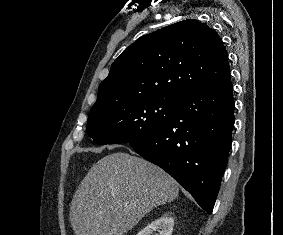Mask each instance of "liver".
Wrapping results in <instances>:
<instances>
[{
  "instance_id": "obj_1",
  "label": "liver",
  "mask_w": 283,
  "mask_h": 235,
  "mask_svg": "<svg viewBox=\"0 0 283 235\" xmlns=\"http://www.w3.org/2000/svg\"><path fill=\"white\" fill-rule=\"evenodd\" d=\"M177 182L160 167L124 152L95 163L70 207L75 235H124L153 208L173 201Z\"/></svg>"
}]
</instances>
